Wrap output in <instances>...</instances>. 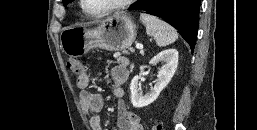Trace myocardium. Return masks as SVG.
Instances as JSON below:
<instances>
[{
  "label": "myocardium",
  "instance_id": "1",
  "mask_svg": "<svg viewBox=\"0 0 257 130\" xmlns=\"http://www.w3.org/2000/svg\"><path fill=\"white\" fill-rule=\"evenodd\" d=\"M134 1L135 0H120L117 3L113 4L112 6H110L109 8H107L101 12H98V13L89 12L84 5V0H80V6L86 15H88L90 17L98 18V17L106 16L112 12L124 9V8L128 7L129 5H131Z\"/></svg>",
  "mask_w": 257,
  "mask_h": 130
}]
</instances>
